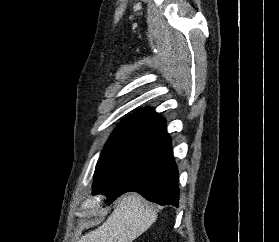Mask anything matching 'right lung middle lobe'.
Segmentation results:
<instances>
[{"label": "right lung middle lobe", "instance_id": "obj_1", "mask_svg": "<svg viewBox=\"0 0 279 242\" xmlns=\"http://www.w3.org/2000/svg\"><path fill=\"white\" fill-rule=\"evenodd\" d=\"M163 119L132 114L111 134L96 165L94 182H101L159 132Z\"/></svg>", "mask_w": 279, "mask_h": 242}]
</instances>
